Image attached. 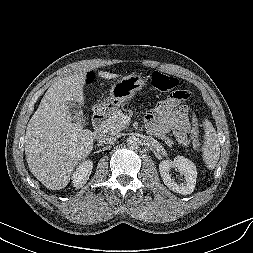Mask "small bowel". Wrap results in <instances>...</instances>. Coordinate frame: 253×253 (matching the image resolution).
Here are the masks:
<instances>
[{
    "mask_svg": "<svg viewBox=\"0 0 253 253\" xmlns=\"http://www.w3.org/2000/svg\"><path fill=\"white\" fill-rule=\"evenodd\" d=\"M184 99L173 97L159 101L146 115V126L157 137H164L172 132L175 138L183 144H189L195 129L189 118V110L180 106Z\"/></svg>",
    "mask_w": 253,
    "mask_h": 253,
    "instance_id": "c3829d8e",
    "label": "small bowel"
}]
</instances>
